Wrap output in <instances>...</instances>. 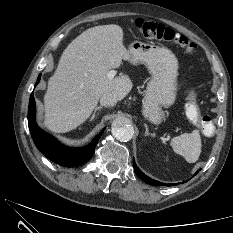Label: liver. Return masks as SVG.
Instances as JSON below:
<instances>
[{"mask_svg": "<svg viewBox=\"0 0 233 233\" xmlns=\"http://www.w3.org/2000/svg\"><path fill=\"white\" fill-rule=\"evenodd\" d=\"M123 35L118 25L95 26L66 47L44 96V125L49 130L71 131L89 118L103 94L122 100L131 91L128 76L107 77L122 60H130Z\"/></svg>", "mask_w": 233, "mask_h": 233, "instance_id": "liver-1", "label": "liver"}]
</instances>
